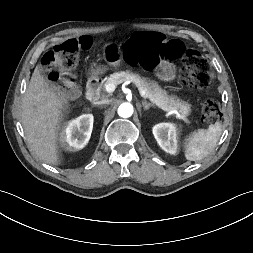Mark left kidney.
Returning a JSON list of instances; mask_svg holds the SVG:
<instances>
[{"label": "left kidney", "instance_id": "obj_1", "mask_svg": "<svg viewBox=\"0 0 253 253\" xmlns=\"http://www.w3.org/2000/svg\"><path fill=\"white\" fill-rule=\"evenodd\" d=\"M152 131L157 143L165 152H177V128L174 124L160 123L155 125Z\"/></svg>", "mask_w": 253, "mask_h": 253}]
</instances>
